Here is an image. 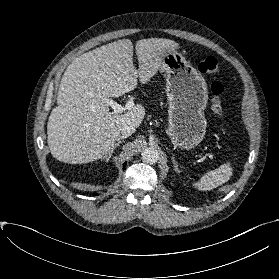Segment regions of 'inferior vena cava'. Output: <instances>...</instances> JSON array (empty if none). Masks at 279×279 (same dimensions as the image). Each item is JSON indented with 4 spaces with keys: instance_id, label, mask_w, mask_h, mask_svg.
<instances>
[{
    "instance_id": "602c4592",
    "label": "inferior vena cava",
    "mask_w": 279,
    "mask_h": 279,
    "mask_svg": "<svg viewBox=\"0 0 279 279\" xmlns=\"http://www.w3.org/2000/svg\"><path fill=\"white\" fill-rule=\"evenodd\" d=\"M135 132V128L133 126H124L119 134V137L124 139L131 136Z\"/></svg>"
}]
</instances>
